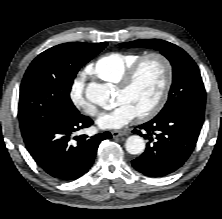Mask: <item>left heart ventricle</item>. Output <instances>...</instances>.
Masks as SVG:
<instances>
[{
  "label": "left heart ventricle",
  "mask_w": 222,
  "mask_h": 219,
  "mask_svg": "<svg viewBox=\"0 0 222 219\" xmlns=\"http://www.w3.org/2000/svg\"><path fill=\"white\" fill-rule=\"evenodd\" d=\"M164 67L157 59L147 60L127 90H117L116 103L130 104L137 114L151 108L157 101L164 84Z\"/></svg>",
  "instance_id": "b2bd125f"
}]
</instances>
